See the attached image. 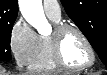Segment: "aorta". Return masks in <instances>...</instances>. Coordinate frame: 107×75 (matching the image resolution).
I'll return each instance as SVG.
<instances>
[{"instance_id":"obj_1","label":"aorta","mask_w":107,"mask_h":75,"mask_svg":"<svg viewBox=\"0 0 107 75\" xmlns=\"http://www.w3.org/2000/svg\"><path fill=\"white\" fill-rule=\"evenodd\" d=\"M20 11L25 20L40 34H44L49 26L45 17L41 0H19Z\"/></svg>"}]
</instances>
